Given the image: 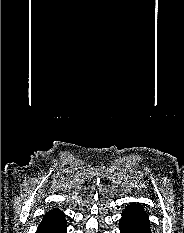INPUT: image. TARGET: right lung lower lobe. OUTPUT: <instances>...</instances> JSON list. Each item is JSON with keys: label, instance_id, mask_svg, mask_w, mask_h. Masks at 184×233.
Segmentation results:
<instances>
[{"label": "right lung lower lobe", "instance_id": "right-lung-lower-lobe-1", "mask_svg": "<svg viewBox=\"0 0 184 233\" xmlns=\"http://www.w3.org/2000/svg\"><path fill=\"white\" fill-rule=\"evenodd\" d=\"M65 214L58 209L47 212L37 228L36 233H66Z\"/></svg>", "mask_w": 184, "mask_h": 233}]
</instances>
